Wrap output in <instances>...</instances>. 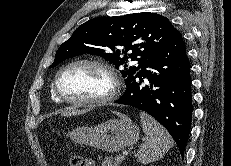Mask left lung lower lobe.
Wrapping results in <instances>:
<instances>
[{"label": "left lung lower lobe", "instance_id": "obj_1", "mask_svg": "<svg viewBox=\"0 0 231 166\" xmlns=\"http://www.w3.org/2000/svg\"><path fill=\"white\" fill-rule=\"evenodd\" d=\"M190 67L185 42L176 30L170 40L142 65L124 94L115 101L154 117L172 135L182 156L193 110Z\"/></svg>", "mask_w": 231, "mask_h": 166}]
</instances>
